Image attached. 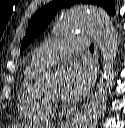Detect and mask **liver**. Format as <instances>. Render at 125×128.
I'll use <instances>...</instances> for the list:
<instances>
[{"label":"liver","mask_w":125,"mask_h":128,"mask_svg":"<svg viewBox=\"0 0 125 128\" xmlns=\"http://www.w3.org/2000/svg\"><path fill=\"white\" fill-rule=\"evenodd\" d=\"M11 128H29V126L28 125L19 124V125H13Z\"/></svg>","instance_id":"6515ba94"}]
</instances>
